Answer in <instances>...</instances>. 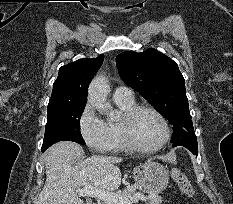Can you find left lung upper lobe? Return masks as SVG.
Instances as JSON below:
<instances>
[{
  "label": "left lung upper lobe",
  "instance_id": "left-lung-upper-lobe-1",
  "mask_svg": "<svg viewBox=\"0 0 233 204\" xmlns=\"http://www.w3.org/2000/svg\"><path fill=\"white\" fill-rule=\"evenodd\" d=\"M121 79L139 91L173 125L171 142L196 137L184 77L177 63L156 49L125 51L116 58Z\"/></svg>",
  "mask_w": 233,
  "mask_h": 204
}]
</instances>
